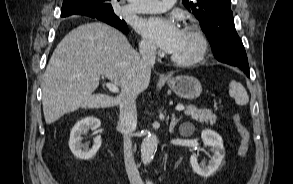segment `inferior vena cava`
Wrapping results in <instances>:
<instances>
[{"mask_svg":"<svg viewBox=\"0 0 293 184\" xmlns=\"http://www.w3.org/2000/svg\"><path fill=\"white\" fill-rule=\"evenodd\" d=\"M155 46L150 43H141L139 52L144 66L151 70L155 63ZM137 93H126L122 96L120 102V120L119 125L124 138V162L130 184H143L136 167L133 153L131 134L137 125L136 98Z\"/></svg>","mask_w":293,"mask_h":184,"instance_id":"inferior-vena-cava-1","label":"inferior vena cava"}]
</instances>
